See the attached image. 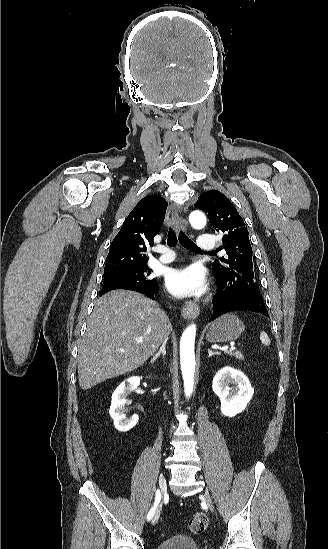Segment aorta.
Instances as JSON below:
<instances>
[{"mask_svg":"<svg viewBox=\"0 0 328 549\" xmlns=\"http://www.w3.org/2000/svg\"><path fill=\"white\" fill-rule=\"evenodd\" d=\"M189 222L195 229H202L206 225V217L201 211H193L189 216ZM196 336L195 324L189 325L182 333L180 339V362L184 381V392L189 398L193 392L195 373L194 344Z\"/></svg>","mask_w":328,"mask_h":549,"instance_id":"1","label":"aorta"}]
</instances>
